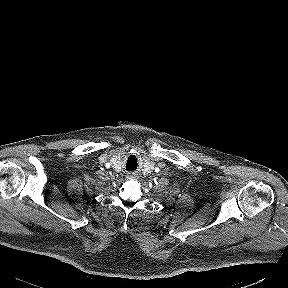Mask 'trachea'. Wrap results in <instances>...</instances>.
Wrapping results in <instances>:
<instances>
[{
    "mask_svg": "<svg viewBox=\"0 0 288 288\" xmlns=\"http://www.w3.org/2000/svg\"><path fill=\"white\" fill-rule=\"evenodd\" d=\"M126 168L128 170H135L137 168V158L135 155L129 156L126 163Z\"/></svg>",
    "mask_w": 288,
    "mask_h": 288,
    "instance_id": "1",
    "label": "trachea"
}]
</instances>
